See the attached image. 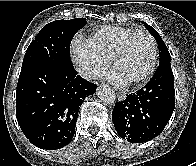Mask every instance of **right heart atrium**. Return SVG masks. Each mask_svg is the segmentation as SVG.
<instances>
[{
    "label": "right heart atrium",
    "mask_w": 196,
    "mask_h": 166,
    "mask_svg": "<svg viewBox=\"0 0 196 166\" xmlns=\"http://www.w3.org/2000/svg\"><path fill=\"white\" fill-rule=\"evenodd\" d=\"M70 53L77 70L87 79L105 70L110 63L91 46L88 40L81 37L73 39Z\"/></svg>",
    "instance_id": "obj_1"
}]
</instances>
